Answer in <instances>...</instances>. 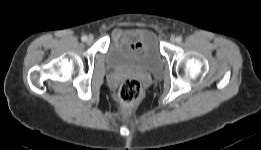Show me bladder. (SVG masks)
I'll return each mask as SVG.
<instances>
[{
    "label": "bladder",
    "instance_id": "obj_1",
    "mask_svg": "<svg viewBox=\"0 0 261 150\" xmlns=\"http://www.w3.org/2000/svg\"><path fill=\"white\" fill-rule=\"evenodd\" d=\"M105 61L110 68H134L149 73H159L163 66V56L155 34L148 29L126 31L112 43Z\"/></svg>",
    "mask_w": 261,
    "mask_h": 150
}]
</instances>
